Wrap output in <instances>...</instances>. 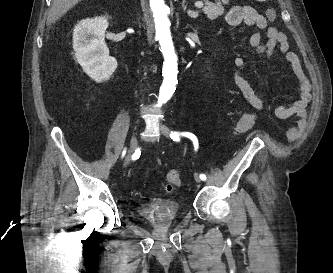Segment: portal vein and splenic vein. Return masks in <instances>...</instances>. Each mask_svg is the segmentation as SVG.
Segmentation results:
<instances>
[{"instance_id": "18ae733b", "label": "portal vein and splenic vein", "mask_w": 333, "mask_h": 273, "mask_svg": "<svg viewBox=\"0 0 333 273\" xmlns=\"http://www.w3.org/2000/svg\"><path fill=\"white\" fill-rule=\"evenodd\" d=\"M203 5H204L203 2H196L195 3V6L198 7V8L203 7Z\"/></svg>"}]
</instances>
